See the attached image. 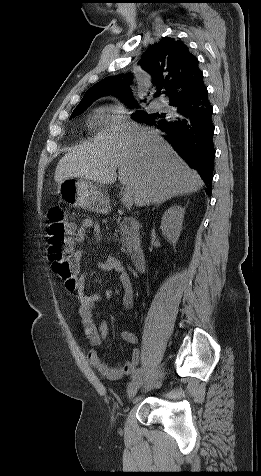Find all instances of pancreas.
<instances>
[{
  "instance_id": "pancreas-1",
  "label": "pancreas",
  "mask_w": 261,
  "mask_h": 476,
  "mask_svg": "<svg viewBox=\"0 0 261 476\" xmlns=\"http://www.w3.org/2000/svg\"><path fill=\"white\" fill-rule=\"evenodd\" d=\"M118 217V220H121ZM118 227L121 234L122 252L131 254L133 249L139 244V229L140 224L132 217H124L122 222H118Z\"/></svg>"
}]
</instances>
